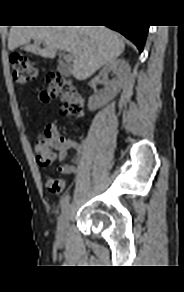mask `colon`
<instances>
[{
	"mask_svg": "<svg viewBox=\"0 0 184 292\" xmlns=\"http://www.w3.org/2000/svg\"><path fill=\"white\" fill-rule=\"evenodd\" d=\"M14 80L19 84H26L36 77V67L27 58L21 55H13L10 59ZM47 86L41 93L44 102L59 99L61 101L60 113L66 116L80 117L84 113V99L80 89L72 82L58 73L48 75ZM53 126L47 125L37 134L35 155L37 163L48 168L54 161L55 153L51 144ZM46 189L53 193H60L64 188L63 180L56 177H48L45 182Z\"/></svg>",
	"mask_w": 184,
	"mask_h": 292,
	"instance_id": "obj_1",
	"label": "colon"
}]
</instances>
